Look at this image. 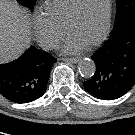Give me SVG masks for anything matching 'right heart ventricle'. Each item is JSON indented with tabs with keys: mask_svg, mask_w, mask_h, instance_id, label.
<instances>
[{
	"mask_svg": "<svg viewBox=\"0 0 135 135\" xmlns=\"http://www.w3.org/2000/svg\"><path fill=\"white\" fill-rule=\"evenodd\" d=\"M77 1L78 0H48L44 6V13L53 23L63 29Z\"/></svg>",
	"mask_w": 135,
	"mask_h": 135,
	"instance_id": "1",
	"label": "right heart ventricle"
}]
</instances>
